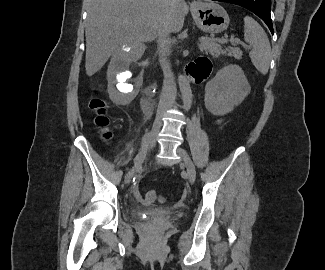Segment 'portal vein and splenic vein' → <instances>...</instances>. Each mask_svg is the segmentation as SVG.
Returning a JSON list of instances; mask_svg holds the SVG:
<instances>
[{
  "label": "portal vein and splenic vein",
  "instance_id": "1",
  "mask_svg": "<svg viewBox=\"0 0 325 270\" xmlns=\"http://www.w3.org/2000/svg\"><path fill=\"white\" fill-rule=\"evenodd\" d=\"M204 39V38H203ZM203 39H201V41H203L202 43H201V45H206V42L203 40ZM219 42H222V43H227L228 41L232 44V45H237V44H241V41L239 40V39H237V38H231L230 40H227V39H220V40H218Z\"/></svg>",
  "mask_w": 325,
  "mask_h": 270
}]
</instances>
